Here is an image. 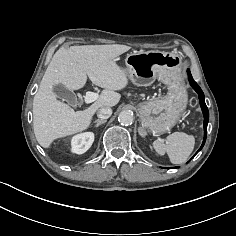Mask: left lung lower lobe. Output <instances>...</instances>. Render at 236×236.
<instances>
[{"label": "left lung lower lobe", "mask_w": 236, "mask_h": 236, "mask_svg": "<svg viewBox=\"0 0 236 236\" xmlns=\"http://www.w3.org/2000/svg\"><path fill=\"white\" fill-rule=\"evenodd\" d=\"M188 72V78H189V82L191 84V86L193 87V89L198 93L199 95V100H200V106H201V109H202V112H203V115H204V140H203V143L200 147V149L197 151V153L203 148L204 144H205V141H206V135H207V124H208V121H209V111H208V108L205 104V100H204V93L203 91L201 90V88L199 87V85L193 80V77L190 73V70H187ZM196 153V154H197ZM193 158V157H192Z\"/></svg>", "instance_id": "1"}]
</instances>
